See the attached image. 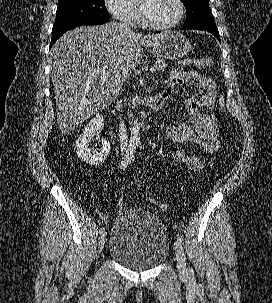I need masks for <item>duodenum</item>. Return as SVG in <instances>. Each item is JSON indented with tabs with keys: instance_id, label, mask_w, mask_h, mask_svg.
I'll return each instance as SVG.
<instances>
[{
	"instance_id": "1",
	"label": "duodenum",
	"mask_w": 272,
	"mask_h": 303,
	"mask_svg": "<svg viewBox=\"0 0 272 303\" xmlns=\"http://www.w3.org/2000/svg\"><path fill=\"white\" fill-rule=\"evenodd\" d=\"M169 98H170L169 94L163 91L153 97L143 100L142 104L151 110H159L166 105Z\"/></svg>"
}]
</instances>
